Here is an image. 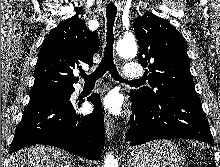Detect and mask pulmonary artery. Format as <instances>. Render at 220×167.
Wrapping results in <instances>:
<instances>
[{
	"label": "pulmonary artery",
	"instance_id": "obj_1",
	"mask_svg": "<svg viewBox=\"0 0 220 167\" xmlns=\"http://www.w3.org/2000/svg\"><path fill=\"white\" fill-rule=\"evenodd\" d=\"M144 74V69L139 64H126L124 67V78L136 79Z\"/></svg>",
	"mask_w": 220,
	"mask_h": 167
}]
</instances>
